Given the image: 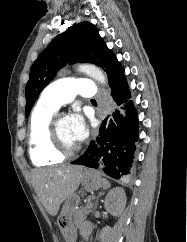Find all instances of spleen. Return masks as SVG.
<instances>
[{
	"label": "spleen",
	"mask_w": 187,
	"mask_h": 242,
	"mask_svg": "<svg viewBox=\"0 0 187 242\" xmlns=\"http://www.w3.org/2000/svg\"><path fill=\"white\" fill-rule=\"evenodd\" d=\"M103 187H104L105 189H108V188L110 187V183H109L108 180L104 179Z\"/></svg>",
	"instance_id": "3e777b00"
}]
</instances>
